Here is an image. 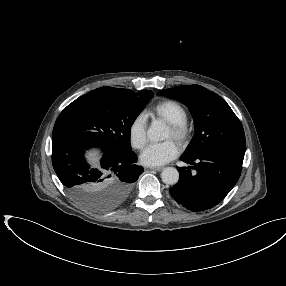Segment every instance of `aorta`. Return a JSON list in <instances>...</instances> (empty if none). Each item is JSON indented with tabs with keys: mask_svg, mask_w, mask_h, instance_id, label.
<instances>
[{
	"mask_svg": "<svg viewBox=\"0 0 286 286\" xmlns=\"http://www.w3.org/2000/svg\"><path fill=\"white\" fill-rule=\"evenodd\" d=\"M147 136L151 141L158 142L166 138V128L160 122L151 124L147 131ZM162 181L168 185H174L179 180V172L174 167H167L161 173Z\"/></svg>",
	"mask_w": 286,
	"mask_h": 286,
	"instance_id": "obj_1",
	"label": "aorta"
}]
</instances>
